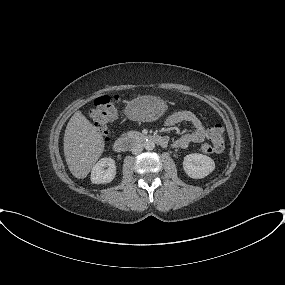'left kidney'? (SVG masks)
<instances>
[{"label": "left kidney", "mask_w": 285, "mask_h": 285, "mask_svg": "<svg viewBox=\"0 0 285 285\" xmlns=\"http://www.w3.org/2000/svg\"><path fill=\"white\" fill-rule=\"evenodd\" d=\"M183 168L185 173L194 179L208 176L214 169L215 163L210 157L193 153L184 157Z\"/></svg>", "instance_id": "1"}]
</instances>
